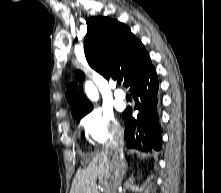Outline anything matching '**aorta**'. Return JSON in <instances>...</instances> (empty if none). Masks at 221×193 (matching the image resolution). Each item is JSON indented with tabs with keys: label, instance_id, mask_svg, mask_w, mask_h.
I'll return each mask as SVG.
<instances>
[{
	"label": "aorta",
	"instance_id": "1",
	"mask_svg": "<svg viewBox=\"0 0 221 193\" xmlns=\"http://www.w3.org/2000/svg\"><path fill=\"white\" fill-rule=\"evenodd\" d=\"M85 92L91 100H93V101L98 100V98H99L98 91H97L96 87L93 85L92 82H90V81L86 82Z\"/></svg>",
	"mask_w": 221,
	"mask_h": 193
}]
</instances>
